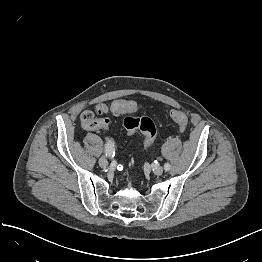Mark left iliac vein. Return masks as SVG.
Returning a JSON list of instances; mask_svg holds the SVG:
<instances>
[{
    "label": "left iliac vein",
    "instance_id": "4c4485c4",
    "mask_svg": "<svg viewBox=\"0 0 262 262\" xmlns=\"http://www.w3.org/2000/svg\"><path fill=\"white\" fill-rule=\"evenodd\" d=\"M151 169H152V171L154 172L155 175L160 176L163 173V168L160 167V166H152Z\"/></svg>",
    "mask_w": 262,
    "mask_h": 262
}]
</instances>
